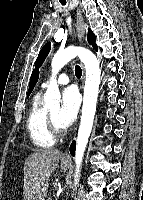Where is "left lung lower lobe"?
<instances>
[{
  "mask_svg": "<svg viewBox=\"0 0 143 200\" xmlns=\"http://www.w3.org/2000/svg\"><path fill=\"white\" fill-rule=\"evenodd\" d=\"M74 151H75V143L73 142L70 146V152L72 155H74Z\"/></svg>",
  "mask_w": 143,
  "mask_h": 200,
  "instance_id": "left-lung-lower-lobe-1",
  "label": "left lung lower lobe"
}]
</instances>
